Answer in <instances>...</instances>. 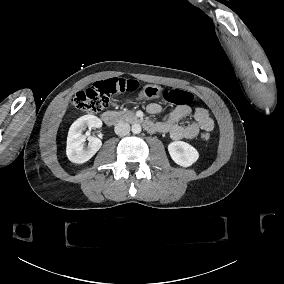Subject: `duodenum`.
<instances>
[{"label": "duodenum", "instance_id": "obj_1", "mask_svg": "<svg viewBox=\"0 0 284 284\" xmlns=\"http://www.w3.org/2000/svg\"><path fill=\"white\" fill-rule=\"evenodd\" d=\"M101 120L110 126L116 125L119 121L126 119L129 122L137 125L143 126L145 129L148 128L150 125L149 121L143 119L142 117L139 116H134V115H123L120 116L114 111H105L100 115Z\"/></svg>", "mask_w": 284, "mask_h": 284}]
</instances>
